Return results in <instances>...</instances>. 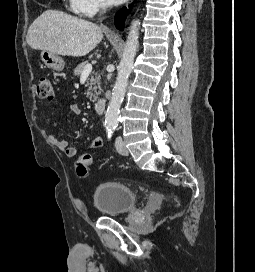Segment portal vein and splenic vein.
Wrapping results in <instances>:
<instances>
[{
	"instance_id": "18ae733b",
	"label": "portal vein and splenic vein",
	"mask_w": 255,
	"mask_h": 272,
	"mask_svg": "<svg viewBox=\"0 0 255 272\" xmlns=\"http://www.w3.org/2000/svg\"><path fill=\"white\" fill-rule=\"evenodd\" d=\"M92 71V65L91 64H87L82 72V76L83 75H89Z\"/></svg>"
}]
</instances>
